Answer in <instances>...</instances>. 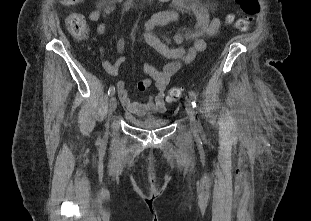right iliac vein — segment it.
Here are the masks:
<instances>
[{
	"label": "right iliac vein",
	"mask_w": 311,
	"mask_h": 221,
	"mask_svg": "<svg viewBox=\"0 0 311 221\" xmlns=\"http://www.w3.org/2000/svg\"><path fill=\"white\" fill-rule=\"evenodd\" d=\"M116 106H117L116 98L115 96L111 95L109 99V115H111L115 111Z\"/></svg>",
	"instance_id": "63e3f726"
}]
</instances>
